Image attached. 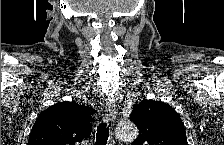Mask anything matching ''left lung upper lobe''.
<instances>
[{
  "label": "left lung upper lobe",
  "mask_w": 224,
  "mask_h": 145,
  "mask_svg": "<svg viewBox=\"0 0 224 145\" xmlns=\"http://www.w3.org/2000/svg\"><path fill=\"white\" fill-rule=\"evenodd\" d=\"M130 119L139 128L135 145H187L182 120L164 102L143 99L134 104Z\"/></svg>",
  "instance_id": "5c2ea615"
}]
</instances>
